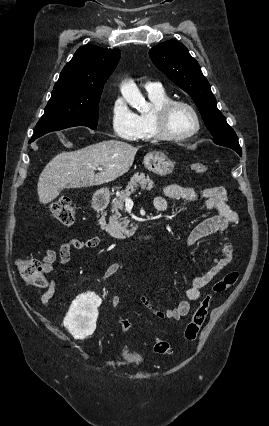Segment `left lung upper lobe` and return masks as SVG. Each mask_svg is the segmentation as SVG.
Returning <instances> with one entry per match:
<instances>
[{
  "instance_id": "5c2ea615",
  "label": "left lung upper lobe",
  "mask_w": 269,
  "mask_h": 426,
  "mask_svg": "<svg viewBox=\"0 0 269 426\" xmlns=\"http://www.w3.org/2000/svg\"><path fill=\"white\" fill-rule=\"evenodd\" d=\"M149 55L156 67L196 103L214 142L232 149L241 148L236 133L217 109L208 80L188 49L176 40H168L153 47Z\"/></svg>"
}]
</instances>
